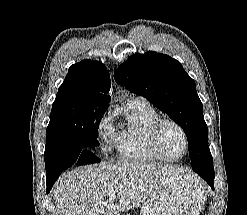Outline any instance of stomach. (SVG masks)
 I'll use <instances>...</instances> for the list:
<instances>
[{
  "label": "stomach",
  "instance_id": "stomach-1",
  "mask_svg": "<svg viewBox=\"0 0 247 215\" xmlns=\"http://www.w3.org/2000/svg\"><path fill=\"white\" fill-rule=\"evenodd\" d=\"M206 199L203 183L193 174L172 177L146 199L140 215H199Z\"/></svg>",
  "mask_w": 247,
  "mask_h": 215
}]
</instances>
